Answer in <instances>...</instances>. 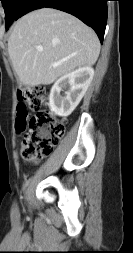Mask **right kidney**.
<instances>
[{"mask_svg":"<svg viewBox=\"0 0 133 253\" xmlns=\"http://www.w3.org/2000/svg\"><path fill=\"white\" fill-rule=\"evenodd\" d=\"M93 76V68L87 66L60 77L50 91L49 106L51 111L61 117L69 116L83 98ZM64 90V95H61V91Z\"/></svg>","mask_w":133,"mask_h":253,"instance_id":"1","label":"right kidney"}]
</instances>
